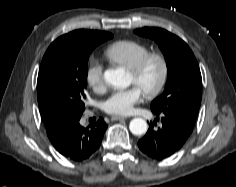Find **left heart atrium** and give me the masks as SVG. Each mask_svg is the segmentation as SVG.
<instances>
[{
    "instance_id": "obj_1",
    "label": "left heart atrium",
    "mask_w": 236,
    "mask_h": 187,
    "mask_svg": "<svg viewBox=\"0 0 236 187\" xmlns=\"http://www.w3.org/2000/svg\"><path fill=\"white\" fill-rule=\"evenodd\" d=\"M141 89L133 85L132 87L115 91L104 103V110L115 116H125L132 112L133 107L142 97Z\"/></svg>"
}]
</instances>
